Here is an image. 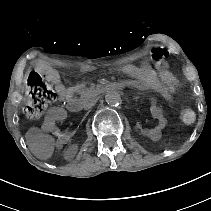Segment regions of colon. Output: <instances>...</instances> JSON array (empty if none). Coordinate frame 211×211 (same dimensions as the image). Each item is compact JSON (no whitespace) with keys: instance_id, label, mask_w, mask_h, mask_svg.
Instances as JSON below:
<instances>
[{"instance_id":"1","label":"colon","mask_w":211,"mask_h":211,"mask_svg":"<svg viewBox=\"0 0 211 211\" xmlns=\"http://www.w3.org/2000/svg\"><path fill=\"white\" fill-rule=\"evenodd\" d=\"M159 75L167 82L172 80L170 73L166 69H159ZM55 99L56 94L50 81L38 72L30 73L26 101L23 107L25 116L29 119L39 118ZM180 118L185 124H192L196 115L192 109L183 107L180 110Z\"/></svg>"}]
</instances>
